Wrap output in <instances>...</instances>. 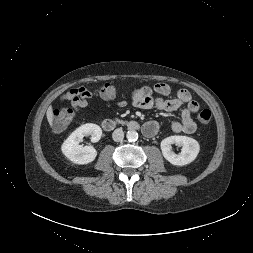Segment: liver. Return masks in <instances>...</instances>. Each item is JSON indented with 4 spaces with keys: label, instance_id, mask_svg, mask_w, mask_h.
<instances>
[{
    "label": "liver",
    "instance_id": "obj_1",
    "mask_svg": "<svg viewBox=\"0 0 253 253\" xmlns=\"http://www.w3.org/2000/svg\"><path fill=\"white\" fill-rule=\"evenodd\" d=\"M46 116H47V120H48L50 126L52 127L53 121H54V115H53V109L51 106L48 108V110L46 112Z\"/></svg>",
    "mask_w": 253,
    "mask_h": 253
}]
</instances>
